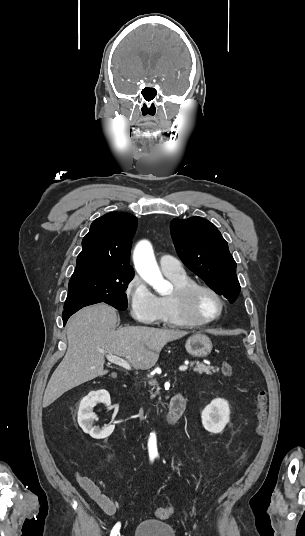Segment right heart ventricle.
Here are the masks:
<instances>
[{"mask_svg": "<svg viewBox=\"0 0 305 536\" xmlns=\"http://www.w3.org/2000/svg\"><path fill=\"white\" fill-rule=\"evenodd\" d=\"M165 275L173 283L174 288L177 286L188 285V284L195 282V280L190 275H188L185 271L182 274H165ZM159 302H160L161 309H160L158 320L164 327H177V326L185 325L183 320L178 315L175 307L173 306L170 300V295L160 297Z\"/></svg>", "mask_w": 305, "mask_h": 536, "instance_id": "right-heart-ventricle-1", "label": "right heart ventricle"}]
</instances>
